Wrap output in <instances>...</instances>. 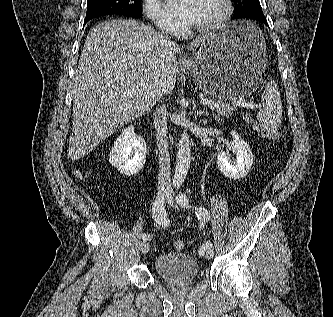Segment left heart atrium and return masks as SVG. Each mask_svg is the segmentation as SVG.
<instances>
[{
    "instance_id": "left-heart-atrium-1",
    "label": "left heart atrium",
    "mask_w": 333,
    "mask_h": 317,
    "mask_svg": "<svg viewBox=\"0 0 333 317\" xmlns=\"http://www.w3.org/2000/svg\"><path fill=\"white\" fill-rule=\"evenodd\" d=\"M198 0H167V14L179 24H192L196 16Z\"/></svg>"
}]
</instances>
